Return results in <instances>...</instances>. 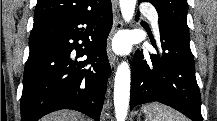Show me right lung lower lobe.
Here are the masks:
<instances>
[{
	"instance_id": "98d812e1",
	"label": "right lung lower lobe",
	"mask_w": 217,
	"mask_h": 121,
	"mask_svg": "<svg viewBox=\"0 0 217 121\" xmlns=\"http://www.w3.org/2000/svg\"><path fill=\"white\" fill-rule=\"evenodd\" d=\"M112 22L111 1L96 0L93 8L77 16L33 26L22 121H37L59 109L77 110L99 121L110 75L106 42Z\"/></svg>"
}]
</instances>
